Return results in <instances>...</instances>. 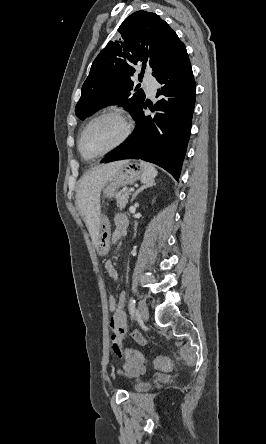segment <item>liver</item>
Returning a JSON list of instances; mask_svg holds the SVG:
<instances>
[{
    "label": "liver",
    "mask_w": 266,
    "mask_h": 444,
    "mask_svg": "<svg viewBox=\"0 0 266 444\" xmlns=\"http://www.w3.org/2000/svg\"><path fill=\"white\" fill-rule=\"evenodd\" d=\"M126 162L128 161L122 160L98 166L86 172L79 180L76 201L95 247L98 244L99 235L101 190Z\"/></svg>",
    "instance_id": "1"
}]
</instances>
